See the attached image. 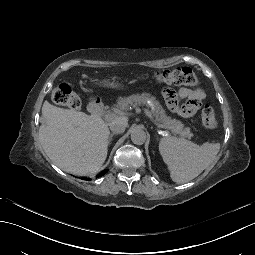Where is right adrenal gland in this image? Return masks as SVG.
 <instances>
[{"mask_svg": "<svg viewBox=\"0 0 255 255\" xmlns=\"http://www.w3.org/2000/svg\"><path fill=\"white\" fill-rule=\"evenodd\" d=\"M113 136H114V134L111 135V139H112Z\"/></svg>", "mask_w": 255, "mask_h": 255, "instance_id": "right-adrenal-gland-1", "label": "right adrenal gland"}]
</instances>
